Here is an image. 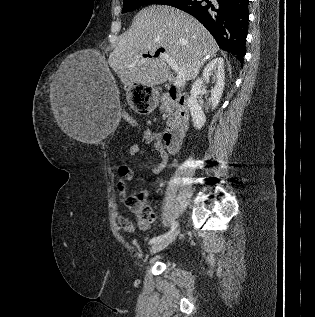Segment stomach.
<instances>
[{
	"label": "stomach",
	"mask_w": 315,
	"mask_h": 317,
	"mask_svg": "<svg viewBox=\"0 0 315 317\" xmlns=\"http://www.w3.org/2000/svg\"><path fill=\"white\" fill-rule=\"evenodd\" d=\"M128 95H132L130 107L135 108V114H156L158 97L154 84H128Z\"/></svg>",
	"instance_id": "stomach-1"
}]
</instances>
